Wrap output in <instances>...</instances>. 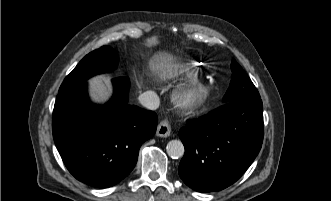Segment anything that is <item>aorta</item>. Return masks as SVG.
Wrapping results in <instances>:
<instances>
[{
	"label": "aorta",
	"mask_w": 331,
	"mask_h": 201,
	"mask_svg": "<svg viewBox=\"0 0 331 201\" xmlns=\"http://www.w3.org/2000/svg\"><path fill=\"white\" fill-rule=\"evenodd\" d=\"M167 154L171 158H180L184 155V145L180 140H171L166 146Z\"/></svg>",
	"instance_id": "1"
}]
</instances>
